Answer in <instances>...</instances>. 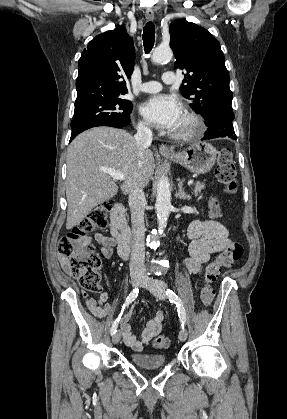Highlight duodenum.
<instances>
[{"label": "duodenum", "mask_w": 287, "mask_h": 419, "mask_svg": "<svg viewBox=\"0 0 287 419\" xmlns=\"http://www.w3.org/2000/svg\"><path fill=\"white\" fill-rule=\"evenodd\" d=\"M111 233L118 242V252L121 258H126L130 247V230L127 224L125 207L121 203L113 206L111 211Z\"/></svg>", "instance_id": "1"}]
</instances>
